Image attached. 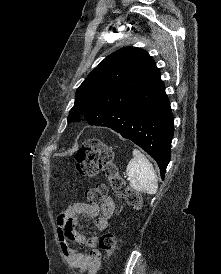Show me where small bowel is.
<instances>
[{
    "label": "small bowel",
    "mask_w": 221,
    "mask_h": 274,
    "mask_svg": "<svg viewBox=\"0 0 221 274\" xmlns=\"http://www.w3.org/2000/svg\"><path fill=\"white\" fill-rule=\"evenodd\" d=\"M115 211V203L111 197L101 205L75 203L61 213L57 219V235L61 251L67 262L80 274H96L100 268L101 253L97 249V237L85 236L77 231L76 226L82 219H93L97 232L107 228L108 220ZM69 242L85 244L88 252H81L70 246Z\"/></svg>",
    "instance_id": "small-bowel-1"
}]
</instances>
